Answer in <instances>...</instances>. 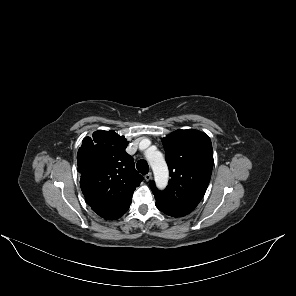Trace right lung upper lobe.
<instances>
[{
	"label": "right lung upper lobe",
	"mask_w": 296,
	"mask_h": 296,
	"mask_svg": "<svg viewBox=\"0 0 296 296\" xmlns=\"http://www.w3.org/2000/svg\"><path fill=\"white\" fill-rule=\"evenodd\" d=\"M128 141L113 130L96 131L85 137L78 150L80 186L88 205H118L131 201L143 180L133 158L125 151Z\"/></svg>",
	"instance_id": "1"
}]
</instances>
